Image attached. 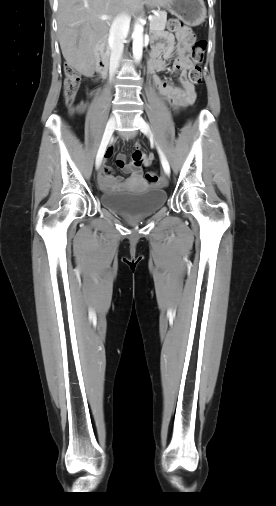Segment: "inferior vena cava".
I'll use <instances>...</instances> for the list:
<instances>
[{"mask_svg": "<svg viewBox=\"0 0 276 506\" xmlns=\"http://www.w3.org/2000/svg\"><path fill=\"white\" fill-rule=\"evenodd\" d=\"M130 16L126 13L118 15L109 30V46L111 50L110 56V77H113L120 65V60L124 48V40L129 31Z\"/></svg>", "mask_w": 276, "mask_h": 506, "instance_id": "obj_1", "label": "inferior vena cava"}]
</instances>
